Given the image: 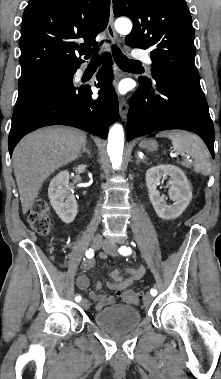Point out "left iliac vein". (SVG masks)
<instances>
[{"mask_svg": "<svg viewBox=\"0 0 221 379\" xmlns=\"http://www.w3.org/2000/svg\"><path fill=\"white\" fill-rule=\"evenodd\" d=\"M103 249L109 255H112V256L117 255V245L113 241H105L103 244ZM152 301H153V296L150 294H146L144 297L145 306L151 305Z\"/></svg>", "mask_w": 221, "mask_h": 379, "instance_id": "4c4485c4", "label": "left iliac vein"}]
</instances>
